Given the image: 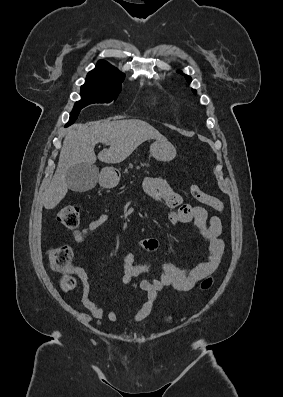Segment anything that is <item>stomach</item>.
<instances>
[{"label":"stomach","instance_id":"1","mask_svg":"<svg viewBox=\"0 0 283 397\" xmlns=\"http://www.w3.org/2000/svg\"><path fill=\"white\" fill-rule=\"evenodd\" d=\"M150 154L158 161L168 162L175 158L176 149L166 139L156 140L150 146ZM97 179L100 186L104 188H112L117 184L119 177L115 168L106 167L98 173Z\"/></svg>","mask_w":283,"mask_h":397}]
</instances>
